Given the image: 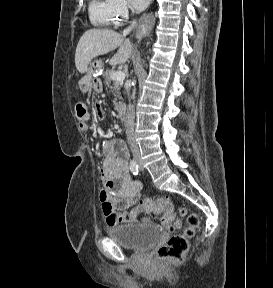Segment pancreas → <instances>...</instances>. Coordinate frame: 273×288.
<instances>
[{
	"label": "pancreas",
	"mask_w": 273,
	"mask_h": 288,
	"mask_svg": "<svg viewBox=\"0 0 273 288\" xmlns=\"http://www.w3.org/2000/svg\"><path fill=\"white\" fill-rule=\"evenodd\" d=\"M113 73V70H106L103 74V79H104V84L110 88V90L113 92V95L115 97V100H117L118 98L120 99V89L122 87V83L121 82H114L112 85H111V75ZM114 105H115V109L118 108V104L114 101Z\"/></svg>",
	"instance_id": "1"
}]
</instances>
